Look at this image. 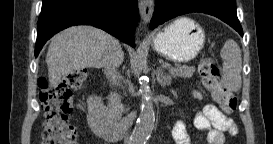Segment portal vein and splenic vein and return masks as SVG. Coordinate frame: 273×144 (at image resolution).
<instances>
[{"mask_svg":"<svg viewBox=\"0 0 273 144\" xmlns=\"http://www.w3.org/2000/svg\"><path fill=\"white\" fill-rule=\"evenodd\" d=\"M170 67H171V65L168 64V63L162 64V68H164V69H168V68H170Z\"/></svg>","mask_w":273,"mask_h":144,"instance_id":"1","label":"portal vein and splenic vein"}]
</instances>
